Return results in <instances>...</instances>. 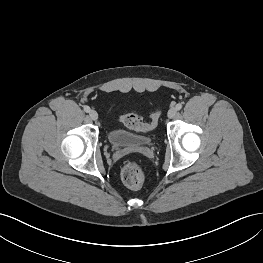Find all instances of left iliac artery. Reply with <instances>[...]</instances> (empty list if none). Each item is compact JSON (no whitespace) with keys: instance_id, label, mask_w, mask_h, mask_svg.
Here are the masks:
<instances>
[{"instance_id":"1","label":"left iliac artery","mask_w":263,"mask_h":263,"mask_svg":"<svg viewBox=\"0 0 263 263\" xmlns=\"http://www.w3.org/2000/svg\"><path fill=\"white\" fill-rule=\"evenodd\" d=\"M182 108V104L181 103H178L177 105H176V110H180Z\"/></svg>"}]
</instances>
